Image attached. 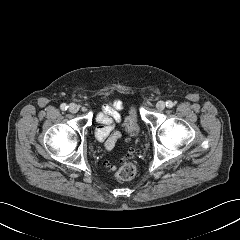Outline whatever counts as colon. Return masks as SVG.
<instances>
[{"mask_svg": "<svg viewBox=\"0 0 240 240\" xmlns=\"http://www.w3.org/2000/svg\"><path fill=\"white\" fill-rule=\"evenodd\" d=\"M126 129L131 134H135L138 130L136 122V113L134 110H131L130 115L126 120ZM137 173L136 166L130 161L124 159L121 162L120 168L117 172V178L122 181H128L135 177Z\"/></svg>", "mask_w": 240, "mask_h": 240, "instance_id": "colon-1", "label": "colon"}]
</instances>
